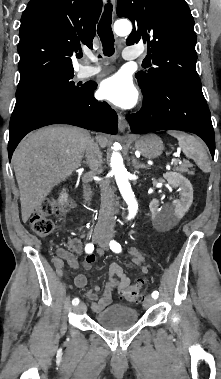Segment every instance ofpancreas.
Here are the masks:
<instances>
[{
	"label": "pancreas",
	"mask_w": 221,
	"mask_h": 379,
	"mask_svg": "<svg viewBox=\"0 0 221 379\" xmlns=\"http://www.w3.org/2000/svg\"><path fill=\"white\" fill-rule=\"evenodd\" d=\"M191 167V164L188 162H184L176 166V170L179 172H189V168Z\"/></svg>",
	"instance_id": "pancreas-1"
}]
</instances>
